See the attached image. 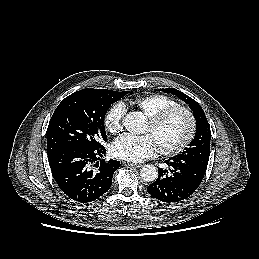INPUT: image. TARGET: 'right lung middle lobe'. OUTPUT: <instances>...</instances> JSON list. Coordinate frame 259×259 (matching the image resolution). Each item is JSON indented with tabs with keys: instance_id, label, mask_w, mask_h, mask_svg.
I'll use <instances>...</instances> for the list:
<instances>
[{
	"instance_id": "right-lung-middle-lobe-1",
	"label": "right lung middle lobe",
	"mask_w": 259,
	"mask_h": 259,
	"mask_svg": "<svg viewBox=\"0 0 259 259\" xmlns=\"http://www.w3.org/2000/svg\"><path fill=\"white\" fill-rule=\"evenodd\" d=\"M128 91L83 89L61 101L47 129V154L62 148H102L107 141L104 117Z\"/></svg>"
}]
</instances>
